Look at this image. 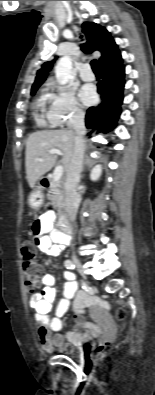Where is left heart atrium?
Returning <instances> with one entry per match:
<instances>
[{"instance_id": "39dd6f15", "label": "left heart atrium", "mask_w": 155, "mask_h": 395, "mask_svg": "<svg viewBox=\"0 0 155 395\" xmlns=\"http://www.w3.org/2000/svg\"><path fill=\"white\" fill-rule=\"evenodd\" d=\"M95 97L96 93L92 86L86 85L80 91V99L85 105L91 104Z\"/></svg>"}]
</instances>
